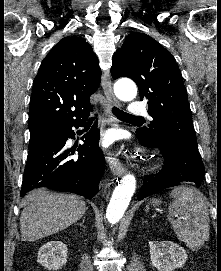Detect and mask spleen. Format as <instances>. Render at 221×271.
<instances>
[{"mask_svg": "<svg viewBox=\"0 0 221 271\" xmlns=\"http://www.w3.org/2000/svg\"><path fill=\"white\" fill-rule=\"evenodd\" d=\"M174 197L168 205V215L180 241L196 251L209 239L210 217L208 205L202 193L195 187H175L170 193ZM176 219H173V217Z\"/></svg>", "mask_w": 221, "mask_h": 271, "instance_id": "1", "label": "spleen"}]
</instances>
